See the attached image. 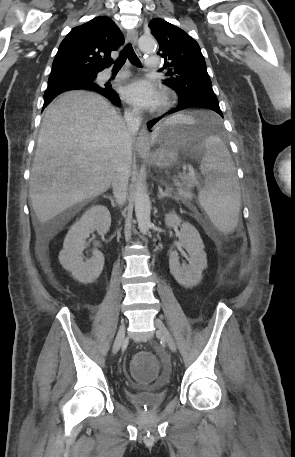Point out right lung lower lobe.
I'll return each mask as SVG.
<instances>
[{"label": "right lung lower lobe", "mask_w": 295, "mask_h": 457, "mask_svg": "<svg viewBox=\"0 0 295 457\" xmlns=\"http://www.w3.org/2000/svg\"><path fill=\"white\" fill-rule=\"evenodd\" d=\"M47 89H58V90H73V89H86V90H91L97 93H100L101 95L105 96L107 99L112 101V103L119 105L120 99L117 93L111 89L110 86H107L105 88L98 86L97 84H85L80 81H64V80H54L48 82V87ZM56 96L50 97V98H44V106L45 108L47 104Z\"/></svg>", "instance_id": "1"}]
</instances>
